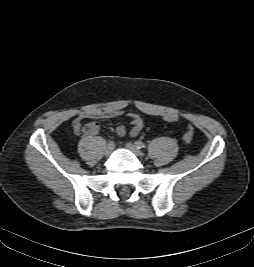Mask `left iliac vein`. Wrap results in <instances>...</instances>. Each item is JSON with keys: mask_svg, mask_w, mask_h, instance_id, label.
Returning a JSON list of instances; mask_svg holds the SVG:
<instances>
[{"mask_svg": "<svg viewBox=\"0 0 254 267\" xmlns=\"http://www.w3.org/2000/svg\"><path fill=\"white\" fill-rule=\"evenodd\" d=\"M126 147H127L130 151H132L136 156H138V157H142V156H143L142 151H141L140 149H138V148L136 147V145H134L133 143L128 142V143L126 144Z\"/></svg>", "mask_w": 254, "mask_h": 267, "instance_id": "1", "label": "left iliac vein"}]
</instances>
